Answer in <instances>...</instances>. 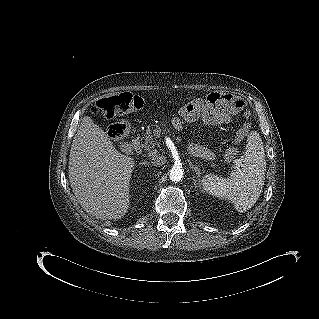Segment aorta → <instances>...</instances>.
<instances>
[{
    "label": "aorta",
    "instance_id": "1",
    "mask_svg": "<svg viewBox=\"0 0 319 319\" xmlns=\"http://www.w3.org/2000/svg\"><path fill=\"white\" fill-rule=\"evenodd\" d=\"M169 177H170V180L173 182L181 181L183 178L182 168L178 167V166L172 167V169L170 170V173H169Z\"/></svg>",
    "mask_w": 319,
    "mask_h": 319
}]
</instances>
